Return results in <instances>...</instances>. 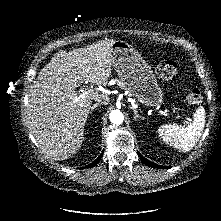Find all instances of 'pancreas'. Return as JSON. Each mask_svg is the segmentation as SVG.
Listing matches in <instances>:
<instances>
[{
    "instance_id": "pancreas-1",
    "label": "pancreas",
    "mask_w": 221,
    "mask_h": 221,
    "mask_svg": "<svg viewBox=\"0 0 221 221\" xmlns=\"http://www.w3.org/2000/svg\"><path fill=\"white\" fill-rule=\"evenodd\" d=\"M118 85H119L120 87H122V88H123V86H122V84H121V82H120V81H118Z\"/></svg>"
}]
</instances>
